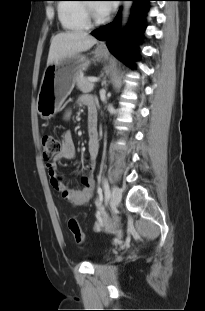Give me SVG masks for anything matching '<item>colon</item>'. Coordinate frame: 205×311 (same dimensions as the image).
<instances>
[{
  "label": "colon",
  "instance_id": "1",
  "mask_svg": "<svg viewBox=\"0 0 205 311\" xmlns=\"http://www.w3.org/2000/svg\"><path fill=\"white\" fill-rule=\"evenodd\" d=\"M42 155L46 162H50L53 157L60 151L61 142L51 135H44L42 137ZM68 229L72 234L74 241L78 245H82L85 242V235L80 227L78 220L74 217L68 220Z\"/></svg>",
  "mask_w": 205,
  "mask_h": 311
}]
</instances>
